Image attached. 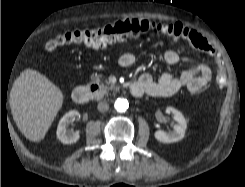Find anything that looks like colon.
I'll return each mask as SVG.
<instances>
[{
    "mask_svg": "<svg viewBox=\"0 0 245 187\" xmlns=\"http://www.w3.org/2000/svg\"><path fill=\"white\" fill-rule=\"evenodd\" d=\"M157 32L175 41H183L202 52L215 55L208 40L197 31L180 23L167 24L144 19H123L96 28H75L63 30L49 38L45 44L48 51L67 44H82L91 48H100L147 32ZM219 84H223L221 72L217 75Z\"/></svg>",
    "mask_w": 245,
    "mask_h": 187,
    "instance_id": "colon-1",
    "label": "colon"
}]
</instances>
